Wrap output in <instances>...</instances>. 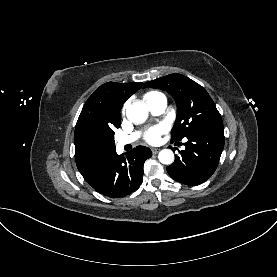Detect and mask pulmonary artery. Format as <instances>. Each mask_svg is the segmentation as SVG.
<instances>
[{"mask_svg": "<svg viewBox=\"0 0 277 277\" xmlns=\"http://www.w3.org/2000/svg\"><path fill=\"white\" fill-rule=\"evenodd\" d=\"M148 108L154 115H160L164 112L166 108V99L165 97H158L147 102ZM138 137V134H132L130 136L122 137L118 140L117 144L119 147H123L126 144L134 142Z\"/></svg>", "mask_w": 277, "mask_h": 277, "instance_id": "e3ab8cb5", "label": "pulmonary artery"}]
</instances>
